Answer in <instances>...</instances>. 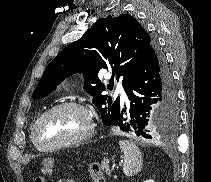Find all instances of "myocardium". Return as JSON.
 Masks as SVG:
<instances>
[{
	"label": "myocardium",
	"instance_id": "f54148a6",
	"mask_svg": "<svg viewBox=\"0 0 211 182\" xmlns=\"http://www.w3.org/2000/svg\"><path fill=\"white\" fill-rule=\"evenodd\" d=\"M62 108H74L77 109L79 111H81L87 119V125L86 128L84 129V131L76 136L73 137L71 139L56 143V144H52V145H47V146H42L40 145L37 137H36V131L37 128L39 126V124L41 123V121L46 118L48 115L52 114L53 112L62 109ZM94 118L91 114V112L87 109V107H85L83 104H80L78 102H74V101H65V102H61L58 103L54 106H52L51 108H49L48 110H46L45 112H43L34 122L32 129H31V139L34 143V145L39 149V150H43V151H48V150H54V149H58L61 147H66V146H71V145H77L80 144L82 142H84L85 140H87L93 130H94Z\"/></svg>",
	"mask_w": 211,
	"mask_h": 182
}]
</instances>
